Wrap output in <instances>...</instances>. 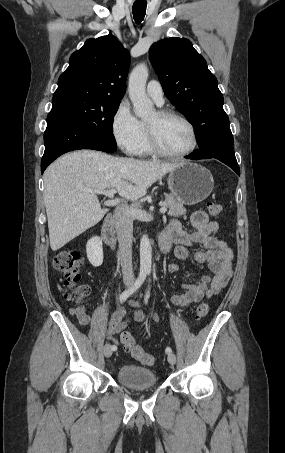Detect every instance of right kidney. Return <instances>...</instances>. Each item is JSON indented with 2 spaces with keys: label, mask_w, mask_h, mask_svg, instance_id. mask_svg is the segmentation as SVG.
Instances as JSON below:
<instances>
[{
  "label": "right kidney",
  "mask_w": 285,
  "mask_h": 453,
  "mask_svg": "<svg viewBox=\"0 0 285 453\" xmlns=\"http://www.w3.org/2000/svg\"><path fill=\"white\" fill-rule=\"evenodd\" d=\"M86 253L89 262L94 267H99L103 263L102 240L98 236L92 237L86 244Z\"/></svg>",
  "instance_id": "right-kidney-1"
}]
</instances>
